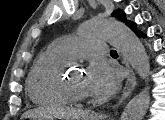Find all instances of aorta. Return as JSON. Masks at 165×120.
I'll list each match as a JSON object with an SVG mask.
<instances>
[{
	"label": "aorta",
	"mask_w": 165,
	"mask_h": 120,
	"mask_svg": "<svg viewBox=\"0 0 165 120\" xmlns=\"http://www.w3.org/2000/svg\"><path fill=\"white\" fill-rule=\"evenodd\" d=\"M83 34L110 40L142 79L150 74L149 58L144 46L125 24L106 18H93L82 26ZM150 103L149 88L145 87L125 107L121 120H142Z\"/></svg>",
	"instance_id": "762f6f07"
}]
</instances>
